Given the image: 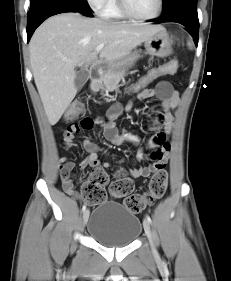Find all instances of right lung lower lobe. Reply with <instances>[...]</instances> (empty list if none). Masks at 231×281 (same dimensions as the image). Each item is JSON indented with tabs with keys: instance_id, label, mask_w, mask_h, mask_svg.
Returning a JSON list of instances; mask_svg holds the SVG:
<instances>
[{
	"instance_id": "1",
	"label": "right lung lower lobe",
	"mask_w": 231,
	"mask_h": 281,
	"mask_svg": "<svg viewBox=\"0 0 231 281\" xmlns=\"http://www.w3.org/2000/svg\"><path fill=\"white\" fill-rule=\"evenodd\" d=\"M65 12H79L93 17L86 0H30L27 20V40L35 29L48 17Z\"/></svg>"
}]
</instances>
